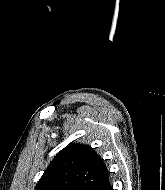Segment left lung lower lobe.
I'll use <instances>...</instances> for the list:
<instances>
[{"mask_svg": "<svg viewBox=\"0 0 165 190\" xmlns=\"http://www.w3.org/2000/svg\"><path fill=\"white\" fill-rule=\"evenodd\" d=\"M102 190H111V186H110L109 180H108V182L105 184V186L102 188Z\"/></svg>", "mask_w": 165, "mask_h": 190, "instance_id": "0a47b994", "label": "left lung lower lobe"}]
</instances>
